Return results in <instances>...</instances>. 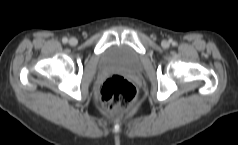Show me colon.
I'll list each match as a JSON object with an SVG mask.
<instances>
[{
	"mask_svg": "<svg viewBox=\"0 0 238 145\" xmlns=\"http://www.w3.org/2000/svg\"><path fill=\"white\" fill-rule=\"evenodd\" d=\"M99 99L107 111L120 114L138 100L136 87L120 75L108 77L99 87Z\"/></svg>",
	"mask_w": 238,
	"mask_h": 145,
	"instance_id": "5ec220e1",
	"label": "colon"
}]
</instances>
